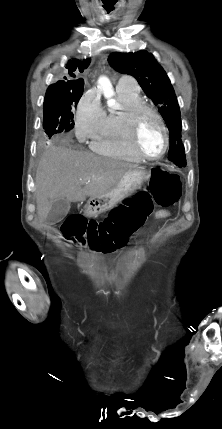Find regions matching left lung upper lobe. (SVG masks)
Returning a JSON list of instances; mask_svg holds the SVG:
<instances>
[{
    "label": "left lung upper lobe",
    "mask_w": 222,
    "mask_h": 429,
    "mask_svg": "<svg viewBox=\"0 0 222 429\" xmlns=\"http://www.w3.org/2000/svg\"><path fill=\"white\" fill-rule=\"evenodd\" d=\"M108 61L114 70L136 78L146 95L160 107L159 112L169 129L168 159L174 164H187L184 145L181 141L180 109L173 87L163 68L147 51L114 52L108 57Z\"/></svg>",
    "instance_id": "1"
}]
</instances>
